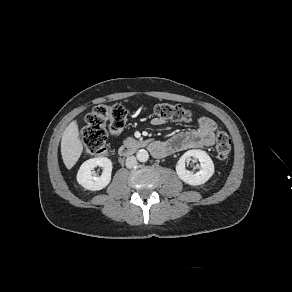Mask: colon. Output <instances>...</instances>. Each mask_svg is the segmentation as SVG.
Returning <instances> with one entry per match:
<instances>
[{
  "label": "colon",
  "mask_w": 292,
  "mask_h": 292,
  "mask_svg": "<svg viewBox=\"0 0 292 292\" xmlns=\"http://www.w3.org/2000/svg\"><path fill=\"white\" fill-rule=\"evenodd\" d=\"M154 114L163 120L190 122L192 112L181 106L169 103H160L154 106ZM127 112L121 105L96 106L85 117V126L82 129V142L89 154L100 155L106 150L108 132L117 135L125 128ZM215 151L218 159L225 160L231 151V139L223 131L216 132Z\"/></svg>",
  "instance_id": "5ec220e1"
}]
</instances>
